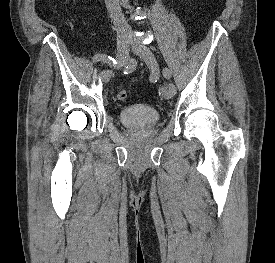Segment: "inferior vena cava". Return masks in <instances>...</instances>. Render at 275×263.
I'll list each match as a JSON object with an SVG mask.
<instances>
[{
	"instance_id": "1",
	"label": "inferior vena cava",
	"mask_w": 275,
	"mask_h": 263,
	"mask_svg": "<svg viewBox=\"0 0 275 263\" xmlns=\"http://www.w3.org/2000/svg\"><path fill=\"white\" fill-rule=\"evenodd\" d=\"M105 4L117 33H125L131 30L120 8L119 0H105Z\"/></svg>"
}]
</instances>
